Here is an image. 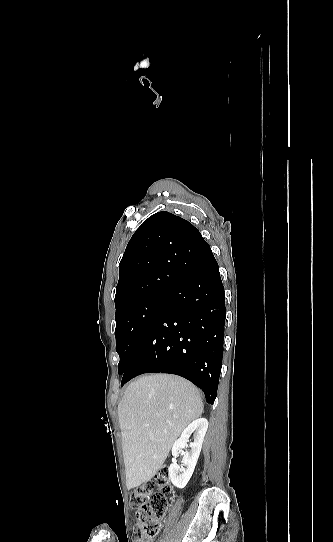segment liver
<instances>
[{
  "instance_id": "liver-1",
  "label": "liver",
  "mask_w": 333,
  "mask_h": 542,
  "mask_svg": "<svg viewBox=\"0 0 333 542\" xmlns=\"http://www.w3.org/2000/svg\"><path fill=\"white\" fill-rule=\"evenodd\" d=\"M201 414L197 388L180 376L147 374L129 384L118 406L127 490L154 478L175 440Z\"/></svg>"
}]
</instances>
